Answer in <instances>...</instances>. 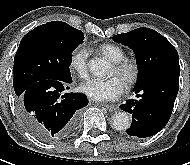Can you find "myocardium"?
<instances>
[{"label":"myocardium","instance_id":"1","mask_svg":"<svg viewBox=\"0 0 190 165\" xmlns=\"http://www.w3.org/2000/svg\"><path fill=\"white\" fill-rule=\"evenodd\" d=\"M116 72L124 79L126 87L134 86L140 76V68L136 61L124 59L113 65Z\"/></svg>","mask_w":190,"mask_h":165}]
</instances>
